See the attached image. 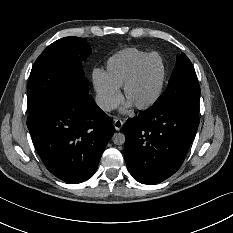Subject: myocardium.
Here are the masks:
<instances>
[{
    "label": "myocardium",
    "instance_id": "myocardium-1",
    "mask_svg": "<svg viewBox=\"0 0 233 233\" xmlns=\"http://www.w3.org/2000/svg\"><path fill=\"white\" fill-rule=\"evenodd\" d=\"M155 56H158L160 58H162L163 62H164V77L161 83V86L159 88V91L157 93V95L153 98V100H151L149 103L147 104H143V105H135V107L140 110V111H147L149 109H151L152 107H154L155 105H157L160 100L162 99L166 86H167V82H168V78H169V66L168 63L164 57L163 54H161L160 52H150L136 67L135 69L132 71V73L129 75V77L126 79V81L123 84V94L124 97L128 99V91L130 89V87L133 85V83L137 80V78L139 77L140 73L142 72V70L145 68V66L147 65V63Z\"/></svg>",
    "mask_w": 233,
    "mask_h": 233
}]
</instances>
